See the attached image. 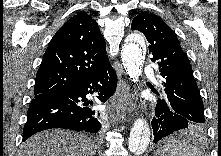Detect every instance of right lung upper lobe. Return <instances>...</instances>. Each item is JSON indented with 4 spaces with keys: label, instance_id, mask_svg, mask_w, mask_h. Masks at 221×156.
<instances>
[{
    "label": "right lung upper lobe",
    "instance_id": "obj_1",
    "mask_svg": "<svg viewBox=\"0 0 221 156\" xmlns=\"http://www.w3.org/2000/svg\"><path fill=\"white\" fill-rule=\"evenodd\" d=\"M108 64L97 22L78 13L50 41L36 75L34 95L62 93Z\"/></svg>",
    "mask_w": 221,
    "mask_h": 156
}]
</instances>
